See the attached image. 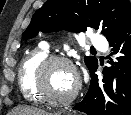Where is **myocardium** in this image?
<instances>
[{
	"mask_svg": "<svg viewBox=\"0 0 131 115\" xmlns=\"http://www.w3.org/2000/svg\"><path fill=\"white\" fill-rule=\"evenodd\" d=\"M55 64H65L73 72L75 78V84L72 92L65 98L53 97L46 88V75L49 68ZM34 88L39 94L41 99L49 105L62 107L70 104L78 95L80 90V79L75 64L69 58L62 55H51L47 56L37 66L34 77Z\"/></svg>",
	"mask_w": 131,
	"mask_h": 115,
	"instance_id": "myocardium-1",
	"label": "myocardium"
}]
</instances>
